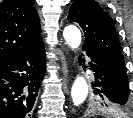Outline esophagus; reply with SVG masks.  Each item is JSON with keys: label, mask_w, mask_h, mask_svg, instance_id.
I'll return each mask as SVG.
<instances>
[{"label": "esophagus", "mask_w": 133, "mask_h": 118, "mask_svg": "<svg viewBox=\"0 0 133 118\" xmlns=\"http://www.w3.org/2000/svg\"><path fill=\"white\" fill-rule=\"evenodd\" d=\"M62 71L65 75L68 74V67H67V64L65 62H62Z\"/></svg>", "instance_id": "34e87169"}]
</instances>
